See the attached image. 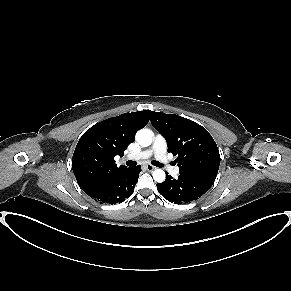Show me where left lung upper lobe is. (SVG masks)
Returning a JSON list of instances; mask_svg holds the SVG:
<instances>
[{"instance_id": "5c2ea615", "label": "left lung upper lobe", "mask_w": 291, "mask_h": 291, "mask_svg": "<svg viewBox=\"0 0 291 291\" xmlns=\"http://www.w3.org/2000/svg\"><path fill=\"white\" fill-rule=\"evenodd\" d=\"M150 120L165 137L168 152L178 156L180 174L216 179L220 154L204 127L187 118L162 112L151 111Z\"/></svg>"}]
</instances>
